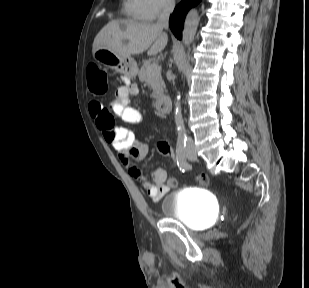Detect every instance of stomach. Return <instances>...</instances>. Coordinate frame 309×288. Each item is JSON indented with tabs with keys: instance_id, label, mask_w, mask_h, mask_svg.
I'll list each match as a JSON object with an SVG mask.
<instances>
[{
	"instance_id": "stomach-1",
	"label": "stomach",
	"mask_w": 309,
	"mask_h": 288,
	"mask_svg": "<svg viewBox=\"0 0 309 288\" xmlns=\"http://www.w3.org/2000/svg\"><path fill=\"white\" fill-rule=\"evenodd\" d=\"M93 59L108 68L135 78L138 73L136 61L131 56H122L109 49L99 48L92 53Z\"/></svg>"
}]
</instances>
